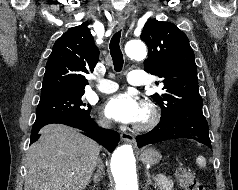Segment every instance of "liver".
<instances>
[{
	"label": "liver",
	"mask_w": 238,
	"mask_h": 190,
	"mask_svg": "<svg viewBox=\"0 0 238 190\" xmlns=\"http://www.w3.org/2000/svg\"><path fill=\"white\" fill-rule=\"evenodd\" d=\"M26 157L24 190H83L95 170L100 146L61 124L43 127Z\"/></svg>",
	"instance_id": "6515ba94"
}]
</instances>
